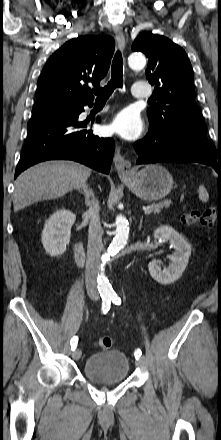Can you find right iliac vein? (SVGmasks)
I'll use <instances>...</instances> for the list:
<instances>
[{
    "label": "right iliac vein",
    "instance_id": "obj_1",
    "mask_svg": "<svg viewBox=\"0 0 221 440\" xmlns=\"http://www.w3.org/2000/svg\"><path fill=\"white\" fill-rule=\"evenodd\" d=\"M81 350L80 349H75L74 352L72 353V357L74 360H78L81 357Z\"/></svg>",
    "mask_w": 221,
    "mask_h": 440
}]
</instances>
